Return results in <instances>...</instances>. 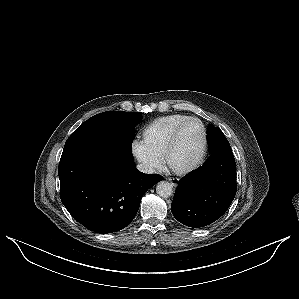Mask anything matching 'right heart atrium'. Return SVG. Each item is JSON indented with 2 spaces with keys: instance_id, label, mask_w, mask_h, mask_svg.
I'll list each match as a JSON object with an SVG mask.
<instances>
[{
  "instance_id": "obj_1",
  "label": "right heart atrium",
  "mask_w": 299,
  "mask_h": 299,
  "mask_svg": "<svg viewBox=\"0 0 299 299\" xmlns=\"http://www.w3.org/2000/svg\"><path fill=\"white\" fill-rule=\"evenodd\" d=\"M131 152L144 171L154 172L160 168V157L152 154L143 142L135 140L131 146Z\"/></svg>"
}]
</instances>
